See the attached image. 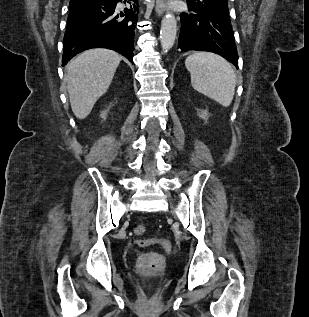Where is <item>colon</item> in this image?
I'll list each match as a JSON object with an SVG mask.
<instances>
[{
    "instance_id": "colon-1",
    "label": "colon",
    "mask_w": 309,
    "mask_h": 317,
    "mask_svg": "<svg viewBox=\"0 0 309 317\" xmlns=\"http://www.w3.org/2000/svg\"><path fill=\"white\" fill-rule=\"evenodd\" d=\"M146 228L144 225H137L134 228V234L137 236H141L145 233ZM135 243L140 247H147L151 245H160L165 250H170L172 245L171 242L164 238H152V239H138Z\"/></svg>"
}]
</instances>
